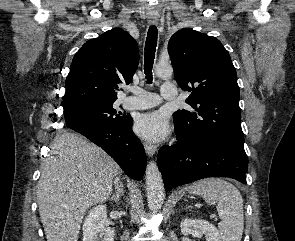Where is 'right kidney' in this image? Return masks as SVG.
I'll use <instances>...</instances> for the list:
<instances>
[{"mask_svg": "<svg viewBox=\"0 0 295 241\" xmlns=\"http://www.w3.org/2000/svg\"><path fill=\"white\" fill-rule=\"evenodd\" d=\"M114 235V230L108 227L106 206L91 209L84 220L83 241H113Z\"/></svg>", "mask_w": 295, "mask_h": 241, "instance_id": "1", "label": "right kidney"}]
</instances>
